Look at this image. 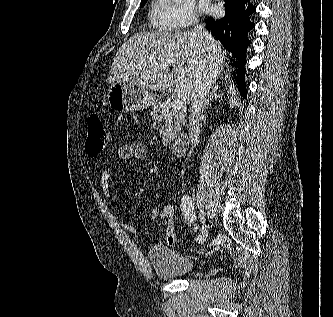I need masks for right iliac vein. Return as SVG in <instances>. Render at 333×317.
I'll list each match as a JSON object with an SVG mask.
<instances>
[{
	"mask_svg": "<svg viewBox=\"0 0 333 317\" xmlns=\"http://www.w3.org/2000/svg\"><path fill=\"white\" fill-rule=\"evenodd\" d=\"M200 237H201L200 242H204L208 237V229H207V226L205 224L202 225V230H201Z\"/></svg>",
	"mask_w": 333,
	"mask_h": 317,
	"instance_id": "right-iliac-vein-1",
	"label": "right iliac vein"
}]
</instances>
